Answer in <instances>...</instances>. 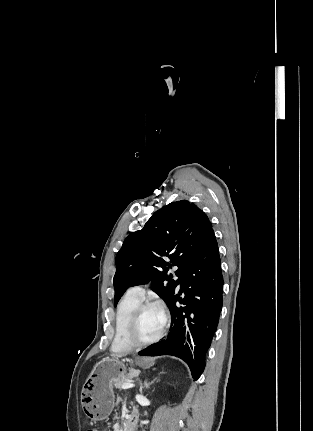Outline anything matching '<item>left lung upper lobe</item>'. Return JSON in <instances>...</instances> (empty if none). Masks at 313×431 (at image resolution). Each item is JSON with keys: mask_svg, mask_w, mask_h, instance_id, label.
<instances>
[{"mask_svg": "<svg viewBox=\"0 0 313 431\" xmlns=\"http://www.w3.org/2000/svg\"><path fill=\"white\" fill-rule=\"evenodd\" d=\"M211 229L206 214L187 200L172 202L156 211L143 229L125 239L117 253L114 305L128 287L150 281L152 290L168 304ZM172 266L178 267L176 281L167 274Z\"/></svg>", "mask_w": 313, "mask_h": 431, "instance_id": "1", "label": "left lung upper lobe"}]
</instances>
